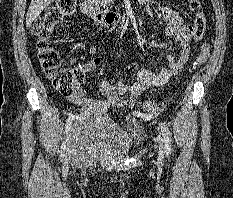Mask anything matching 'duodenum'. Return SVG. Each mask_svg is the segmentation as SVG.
<instances>
[{"label": "duodenum", "mask_w": 233, "mask_h": 198, "mask_svg": "<svg viewBox=\"0 0 233 198\" xmlns=\"http://www.w3.org/2000/svg\"><path fill=\"white\" fill-rule=\"evenodd\" d=\"M81 12L91 17L99 25H113L120 21V16L114 12L100 9L92 0H83L80 6Z\"/></svg>", "instance_id": "410a0bca"}]
</instances>
